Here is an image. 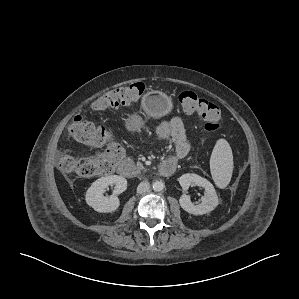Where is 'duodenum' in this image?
I'll use <instances>...</instances> for the list:
<instances>
[{
    "label": "duodenum",
    "mask_w": 299,
    "mask_h": 299,
    "mask_svg": "<svg viewBox=\"0 0 299 299\" xmlns=\"http://www.w3.org/2000/svg\"><path fill=\"white\" fill-rule=\"evenodd\" d=\"M176 163L172 160H164L160 163L158 167V171L162 176H170L175 172ZM118 172L120 175L124 177H133L135 175V169L133 164L128 161L124 160L118 166Z\"/></svg>",
    "instance_id": "duodenum-1"
}]
</instances>
